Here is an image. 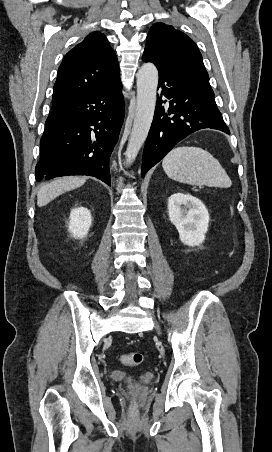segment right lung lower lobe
<instances>
[{
  "label": "right lung lower lobe",
  "instance_id": "right-lung-lower-lobe-1",
  "mask_svg": "<svg viewBox=\"0 0 272 452\" xmlns=\"http://www.w3.org/2000/svg\"><path fill=\"white\" fill-rule=\"evenodd\" d=\"M121 90L118 80L50 112L35 169L38 182L66 175H88L111 186L109 159L124 118Z\"/></svg>",
  "mask_w": 272,
  "mask_h": 452
}]
</instances>
